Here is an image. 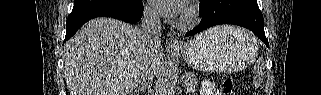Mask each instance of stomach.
<instances>
[{"label": "stomach", "instance_id": "obj_1", "mask_svg": "<svg viewBox=\"0 0 321 95\" xmlns=\"http://www.w3.org/2000/svg\"><path fill=\"white\" fill-rule=\"evenodd\" d=\"M228 28L208 30L178 49L186 63L207 72L232 73L245 68L258 54L257 41L243 29Z\"/></svg>", "mask_w": 321, "mask_h": 95}]
</instances>
